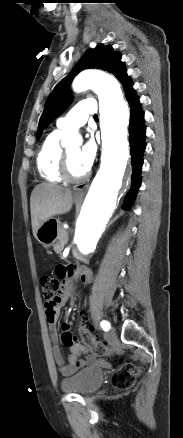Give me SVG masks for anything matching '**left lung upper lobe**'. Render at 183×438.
Masks as SVG:
<instances>
[{"label":"left lung upper lobe","instance_id":"5c2ea615","mask_svg":"<svg viewBox=\"0 0 183 438\" xmlns=\"http://www.w3.org/2000/svg\"><path fill=\"white\" fill-rule=\"evenodd\" d=\"M111 46L97 45L95 49H88L78 61L73 70L62 79L48 97L42 116L39 121L38 131L44 130L60 115L71 103L73 96L70 94L69 85L73 78L83 69L98 68L114 74L125 86L129 81L125 66L121 62V55L112 51ZM40 137L38 132L37 139Z\"/></svg>","mask_w":183,"mask_h":438}]
</instances>
